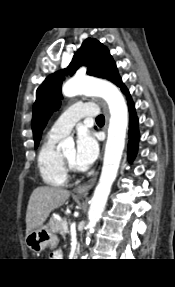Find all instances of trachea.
Listing matches in <instances>:
<instances>
[{
    "mask_svg": "<svg viewBox=\"0 0 175 287\" xmlns=\"http://www.w3.org/2000/svg\"><path fill=\"white\" fill-rule=\"evenodd\" d=\"M96 122L97 123H104L105 122V118L103 115H99L97 118H96Z\"/></svg>",
    "mask_w": 175,
    "mask_h": 287,
    "instance_id": "3493384b",
    "label": "trachea"
}]
</instances>
